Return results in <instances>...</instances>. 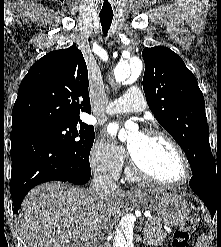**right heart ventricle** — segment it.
<instances>
[{
	"instance_id": "right-heart-ventricle-1",
	"label": "right heart ventricle",
	"mask_w": 221,
	"mask_h": 247,
	"mask_svg": "<svg viewBox=\"0 0 221 247\" xmlns=\"http://www.w3.org/2000/svg\"><path fill=\"white\" fill-rule=\"evenodd\" d=\"M126 175L131 180H137L138 179L137 176L130 169L127 170Z\"/></svg>"
}]
</instances>
